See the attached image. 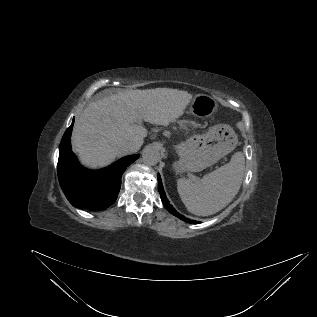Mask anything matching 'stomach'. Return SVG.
<instances>
[{
	"label": "stomach",
	"mask_w": 317,
	"mask_h": 317,
	"mask_svg": "<svg viewBox=\"0 0 317 317\" xmlns=\"http://www.w3.org/2000/svg\"><path fill=\"white\" fill-rule=\"evenodd\" d=\"M193 104L204 107L206 116L212 115L217 109L216 101L203 94L197 95ZM237 143V135L232 127L217 124L207 133L194 134L176 145L180 159L174 168L178 173L202 171L234 150Z\"/></svg>",
	"instance_id": "stomach-1"
}]
</instances>
